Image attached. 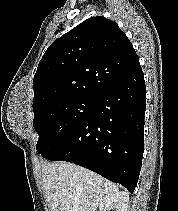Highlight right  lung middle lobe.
<instances>
[{
	"label": "right lung middle lobe",
	"instance_id": "right-lung-middle-lobe-1",
	"mask_svg": "<svg viewBox=\"0 0 178 211\" xmlns=\"http://www.w3.org/2000/svg\"><path fill=\"white\" fill-rule=\"evenodd\" d=\"M93 104L94 99L75 98L52 103L34 113L38 153L46 156L74 132L89 116Z\"/></svg>",
	"mask_w": 178,
	"mask_h": 211
}]
</instances>
